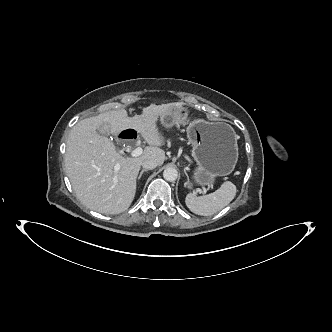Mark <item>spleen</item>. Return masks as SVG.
<instances>
[{
	"mask_svg": "<svg viewBox=\"0 0 332 332\" xmlns=\"http://www.w3.org/2000/svg\"><path fill=\"white\" fill-rule=\"evenodd\" d=\"M236 195V186L230 182H224L215 192L196 197L188 194L185 202L187 207L195 214L209 216L218 213L227 206Z\"/></svg>",
	"mask_w": 332,
	"mask_h": 332,
	"instance_id": "obj_1",
	"label": "spleen"
}]
</instances>
